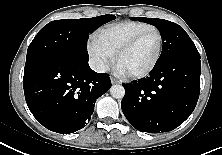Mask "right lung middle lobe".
<instances>
[{
    "instance_id": "obj_1",
    "label": "right lung middle lobe",
    "mask_w": 222,
    "mask_h": 155,
    "mask_svg": "<svg viewBox=\"0 0 222 155\" xmlns=\"http://www.w3.org/2000/svg\"><path fill=\"white\" fill-rule=\"evenodd\" d=\"M113 19L114 15L107 14L94 18L51 21L38 32L29 45L25 68L55 58L88 60L89 34Z\"/></svg>"
}]
</instances>
